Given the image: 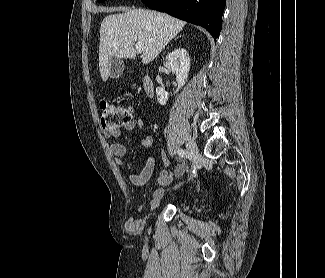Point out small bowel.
Listing matches in <instances>:
<instances>
[{"mask_svg":"<svg viewBox=\"0 0 325 278\" xmlns=\"http://www.w3.org/2000/svg\"><path fill=\"white\" fill-rule=\"evenodd\" d=\"M126 132H131L134 130H139L140 132L144 129V120L141 117L132 118L129 122L123 125L122 128ZM122 129L118 128L115 130H106L104 131V136L106 138H113L117 139L121 136ZM154 136L152 133H147L142 135L140 142L141 145L144 147H149L153 144ZM110 153L114 157V163L117 166H121L123 164V159L127 156V149L124 145L120 143H113L110 145ZM163 162L165 168L160 170L157 183L159 185L158 188L154 189L152 192V200L150 202V207L153 208L158 205L160 199L163 197L164 194V187L168 186L174 178L181 177L186 170L185 163L181 162L177 165V167L173 171H169L167 169L169 165V159L163 155ZM155 168V159L154 157L150 156L147 158L144 168L139 174H130L129 180L134 186H143L145 185L150 177L153 174ZM130 226L132 224L130 223Z\"/></svg>","mask_w":325,"mask_h":278,"instance_id":"small-bowel-1","label":"small bowel"}]
</instances>
